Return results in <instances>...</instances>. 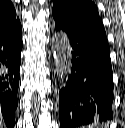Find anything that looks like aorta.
<instances>
[{"label":"aorta","mask_w":125,"mask_h":128,"mask_svg":"<svg viewBox=\"0 0 125 128\" xmlns=\"http://www.w3.org/2000/svg\"><path fill=\"white\" fill-rule=\"evenodd\" d=\"M51 49L58 75L65 78L71 67V47L68 37L63 32H57L52 37Z\"/></svg>","instance_id":"1"}]
</instances>
